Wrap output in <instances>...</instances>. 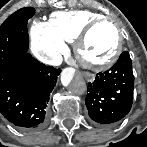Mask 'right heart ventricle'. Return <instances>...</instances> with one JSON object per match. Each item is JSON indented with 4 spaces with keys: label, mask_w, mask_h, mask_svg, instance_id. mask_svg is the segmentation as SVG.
I'll return each instance as SVG.
<instances>
[{
    "label": "right heart ventricle",
    "mask_w": 147,
    "mask_h": 147,
    "mask_svg": "<svg viewBox=\"0 0 147 147\" xmlns=\"http://www.w3.org/2000/svg\"><path fill=\"white\" fill-rule=\"evenodd\" d=\"M100 16L90 12H73L56 16L51 23V32L59 31L60 37L67 43H73L81 36L84 30L100 21Z\"/></svg>",
    "instance_id": "1"
}]
</instances>
